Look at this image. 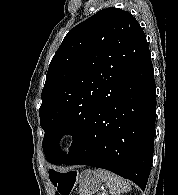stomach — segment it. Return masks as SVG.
Returning a JSON list of instances; mask_svg holds the SVG:
<instances>
[{
    "label": "stomach",
    "instance_id": "0dacf381",
    "mask_svg": "<svg viewBox=\"0 0 178 195\" xmlns=\"http://www.w3.org/2000/svg\"><path fill=\"white\" fill-rule=\"evenodd\" d=\"M78 195H95L101 188V179L92 170H85L77 176Z\"/></svg>",
    "mask_w": 178,
    "mask_h": 195
}]
</instances>
